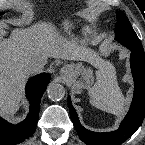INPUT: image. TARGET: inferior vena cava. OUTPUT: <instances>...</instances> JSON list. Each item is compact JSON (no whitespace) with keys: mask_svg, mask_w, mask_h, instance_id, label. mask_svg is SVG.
Returning a JSON list of instances; mask_svg holds the SVG:
<instances>
[{"mask_svg":"<svg viewBox=\"0 0 145 145\" xmlns=\"http://www.w3.org/2000/svg\"><path fill=\"white\" fill-rule=\"evenodd\" d=\"M47 63L46 58H40L37 61L30 62L26 65V71L28 74H37L43 71L45 64Z\"/></svg>","mask_w":145,"mask_h":145,"instance_id":"602c4592","label":"inferior vena cava"}]
</instances>
